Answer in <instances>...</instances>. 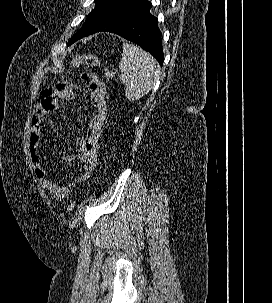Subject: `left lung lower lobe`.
<instances>
[{
    "label": "left lung lower lobe",
    "instance_id": "1",
    "mask_svg": "<svg viewBox=\"0 0 272 303\" xmlns=\"http://www.w3.org/2000/svg\"><path fill=\"white\" fill-rule=\"evenodd\" d=\"M151 7L148 0H142L133 7L103 20L77 40L99 31L115 33L151 53L162 66L164 54L161 32L157 25V18L150 14Z\"/></svg>",
    "mask_w": 272,
    "mask_h": 303
}]
</instances>
